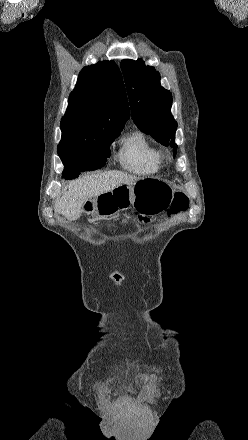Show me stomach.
<instances>
[{
    "mask_svg": "<svg viewBox=\"0 0 248 440\" xmlns=\"http://www.w3.org/2000/svg\"><path fill=\"white\" fill-rule=\"evenodd\" d=\"M173 189L165 182L154 178H143L134 185L123 184L103 193L86 206V216L108 218V216L131 206L147 214L165 210L173 197Z\"/></svg>",
    "mask_w": 248,
    "mask_h": 440,
    "instance_id": "obj_1",
    "label": "stomach"
}]
</instances>
